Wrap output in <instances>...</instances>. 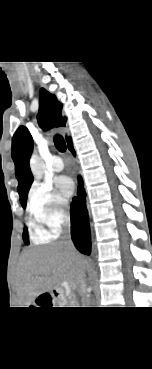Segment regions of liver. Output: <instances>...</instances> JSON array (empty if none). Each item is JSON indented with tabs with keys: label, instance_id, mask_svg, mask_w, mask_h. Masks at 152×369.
Returning <instances> with one entry per match:
<instances>
[{
	"label": "liver",
	"instance_id": "obj_1",
	"mask_svg": "<svg viewBox=\"0 0 152 369\" xmlns=\"http://www.w3.org/2000/svg\"><path fill=\"white\" fill-rule=\"evenodd\" d=\"M87 262L75 248L61 242L23 252L18 268L17 290L27 305L40 294L66 281L76 287L82 280Z\"/></svg>",
	"mask_w": 152,
	"mask_h": 369
}]
</instances>
